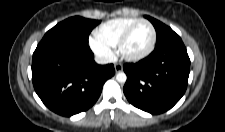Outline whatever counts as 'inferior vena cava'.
Here are the masks:
<instances>
[{"label": "inferior vena cava", "instance_id": "1", "mask_svg": "<svg viewBox=\"0 0 225 132\" xmlns=\"http://www.w3.org/2000/svg\"><path fill=\"white\" fill-rule=\"evenodd\" d=\"M95 61L98 64H107V63L113 62L112 59H109V58H106V57H96Z\"/></svg>", "mask_w": 225, "mask_h": 132}]
</instances>
